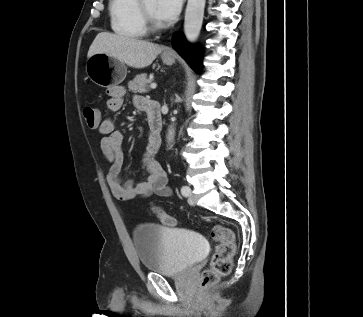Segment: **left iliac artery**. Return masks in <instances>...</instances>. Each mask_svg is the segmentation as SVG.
Masks as SVG:
<instances>
[{"instance_id": "1", "label": "left iliac artery", "mask_w": 363, "mask_h": 317, "mask_svg": "<svg viewBox=\"0 0 363 317\" xmlns=\"http://www.w3.org/2000/svg\"><path fill=\"white\" fill-rule=\"evenodd\" d=\"M181 193H182V195H184V196H188V195H189V187H188V186H183V187L181 188Z\"/></svg>"}]
</instances>
